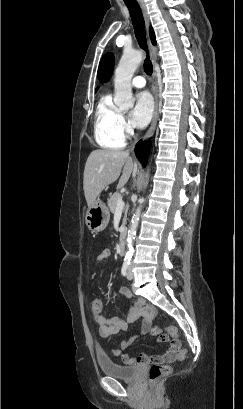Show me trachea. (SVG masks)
Instances as JSON below:
<instances>
[{"label": "trachea", "mask_w": 243, "mask_h": 409, "mask_svg": "<svg viewBox=\"0 0 243 409\" xmlns=\"http://www.w3.org/2000/svg\"><path fill=\"white\" fill-rule=\"evenodd\" d=\"M124 3L129 9L132 23L134 26L135 36L138 41V44L140 48L146 51L147 53V56L144 62L145 73L147 75H151L153 71V67H152V63L150 60V56L148 54V47H147L146 33H145V22L143 19L142 11L137 1L128 2L127 0H124Z\"/></svg>", "instance_id": "obj_1"}]
</instances>
